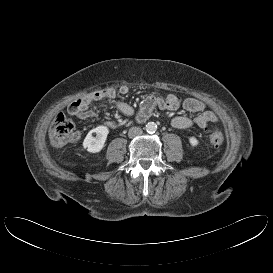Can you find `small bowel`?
I'll return each mask as SVG.
<instances>
[{
	"label": "small bowel",
	"mask_w": 273,
	"mask_h": 273,
	"mask_svg": "<svg viewBox=\"0 0 273 273\" xmlns=\"http://www.w3.org/2000/svg\"><path fill=\"white\" fill-rule=\"evenodd\" d=\"M129 92L128 86H122L120 93L127 94ZM116 96L114 89H105L102 91L91 93L82 99L76 100L71 103L68 107V112L72 116L80 119L87 120L93 119L95 113L90 110L93 103L101 100L113 99ZM117 109L126 116H132L135 111L129 104L118 101L116 102ZM159 108L162 110H176L181 108L182 110L189 113H198L195 118L187 116H176L172 119V126L179 129L190 128L197 125L200 128H206L209 123L217 122L218 116L211 110L206 108V105L196 98L181 99L176 95H169L166 98H160L154 95L147 96L140 104L136 113L137 119L140 121L145 120L155 109ZM112 126V123H108Z\"/></svg>",
	"instance_id": "c3829d8e"
}]
</instances>
